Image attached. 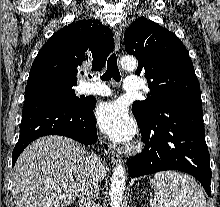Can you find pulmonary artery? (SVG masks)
I'll return each instance as SVG.
<instances>
[{"label": "pulmonary artery", "instance_id": "pulmonary-artery-1", "mask_svg": "<svg viewBox=\"0 0 220 207\" xmlns=\"http://www.w3.org/2000/svg\"><path fill=\"white\" fill-rule=\"evenodd\" d=\"M123 87L126 91H136L142 88V84L137 76H128L124 81ZM85 93L99 96H110L112 91L104 84L95 83L88 85L85 88Z\"/></svg>", "mask_w": 220, "mask_h": 207}]
</instances>
